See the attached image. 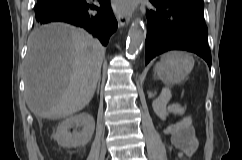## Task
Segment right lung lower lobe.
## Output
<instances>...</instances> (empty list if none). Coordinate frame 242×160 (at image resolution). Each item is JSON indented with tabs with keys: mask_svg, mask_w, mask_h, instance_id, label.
Returning a JSON list of instances; mask_svg holds the SVG:
<instances>
[{
	"mask_svg": "<svg viewBox=\"0 0 242 160\" xmlns=\"http://www.w3.org/2000/svg\"><path fill=\"white\" fill-rule=\"evenodd\" d=\"M97 1L101 4L100 8L92 4V0H40L35 9L36 23H70L86 29L106 46L118 24L110 8V0ZM93 10L98 13H93Z\"/></svg>",
	"mask_w": 242,
	"mask_h": 160,
	"instance_id": "1",
	"label": "right lung lower lobe"
}]
</instances>
